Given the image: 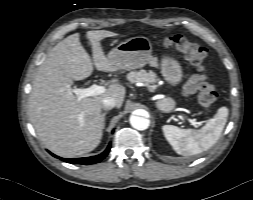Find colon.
I'll return each instance as SVG.
<instances>
[{
	"label": "colon",
	"instance_id": "5ec220e1",
	"mask_svg": "<svg viewBox=\"0 0 253 200\" xmlns=\"http://www.w3.org/2000/svg\"><path fill=\"white\" fill-rule=\"evenodd\" d=\"M163 45L181 53L199 71L204 70L207 52L200 45L189 41L181 35L165 37ZM197 100L204 114H208L211 111L212 105L216 100L215 87L204 75H202L199 83Z\"/></svg>",
	"mask_w": 253,
	"mask_h": 200
}]
</instances>
